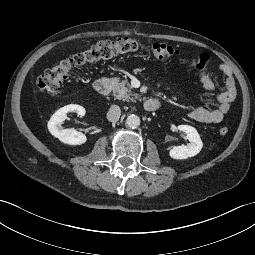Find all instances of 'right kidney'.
I'll list each match as a JSON object with an SVG mask.
<instances>
[{
  "mask_svg": "<svg viewBox=\"0 0 255 255\" xmlns=\"http://www.w3.org/2000/svg\"><path fill=\"white\" fill-rule=\"evenodd\" d=\"M76 112L80 117L85 115V108L77 105L70 104L57 110L50 118L47 126L49 132L61 142L69 145H81L87 140L85 134L78 132L75 129H63L62 124L67 118V113Z\"/></svg>",
  "mask_w": 255,
  "mask_h": 255,
  "instance_id": "1",
  "label": "right kidney"
}]
</instances>
